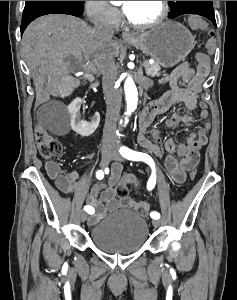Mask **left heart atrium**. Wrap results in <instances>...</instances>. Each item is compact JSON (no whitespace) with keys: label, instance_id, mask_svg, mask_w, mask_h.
<instances>
[{"label":"left heart atrium","instance_id":"left-heart-atrium-1","mask_svg":"<svg viewBox=\"0 0 237 300\" xmlns=\"http://www.w3.org/2000/svg\"><path fill=\"white\" fill-rule=\"evenodd\" d=\"M131 1H124V5H123V9L124 11L127 10V8L129 7Z\"/></svg>","mask_w":237,"mask_h":300}]
</instances>
